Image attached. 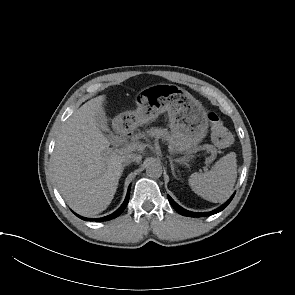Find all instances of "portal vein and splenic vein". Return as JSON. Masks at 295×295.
I'll use <instances>...</instances> for the list:
<instances>
[{"label":"portal vein and splenic vein","mask_w":295,"mask_h":295,"mask_svg":"<svg viewBox=\"0 0 295 295\" xmlns=\"http://www.w3.org/2000/svg\"><path fill=\"white\" fill-rule=\"evenodd\" d=\"M140 147H141V144H140V143H138V142H134V143L130 144V145L127 147V149H123V148H121V149H116V152H122V151H124V150H131V151H133V150H135V149H140ZM211 161H212L211 158H207L206 163H209V162H211Z\"/></svg>","instance_id":"portal-vein-and-splenic-vein-1"}]
</instances>
